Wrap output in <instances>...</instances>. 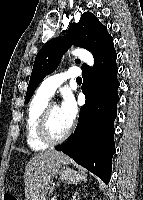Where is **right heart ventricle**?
<instances>
[{
    "label": "right heart ventricle",
    "mask_w": 143,
    "mask_h": 200,
    "mask_svg": "<svg viewBox=\"0 0 143 200\" xmlns=\"http://www.w3.org/2000/svg\"><path fill=\"white\" fill-rule=\"evenodd\" d=\"M48 100L49 97L38 90L28 107L25 121V137L27 145L34 151L44 150L49 146L41 142L36 133L38 120L48 104Z\"/></svg>",
    "instance_id": "1"
}]
</instances>
